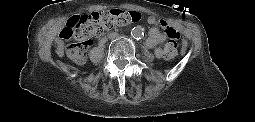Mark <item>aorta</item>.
I'll list each match as a JSON object with an SVG mask.
<instances>
[{
    "label": "aorta",
    "mask_w": 255,
    "mask_h": 122,
    "mask_svg": "<svg viewBox=\"0 0 255 122\" xmlns=\"http://www.w3.org/2000/svg\"><path fill=\"white\" fill-rule=\"evenodd\" d=\"M131 35L135 39H140L143 36V29L140 26L132 28Z\"/></svg>",
    "instance_id": "762f6f07"
}]
</instances>
